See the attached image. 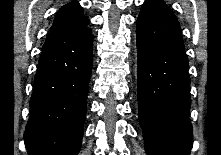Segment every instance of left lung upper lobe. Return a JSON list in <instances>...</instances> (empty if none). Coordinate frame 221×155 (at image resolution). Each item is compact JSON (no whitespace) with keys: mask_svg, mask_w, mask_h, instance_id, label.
Here are the masks:
<instances>
[{"mask_svg":"<svg viewBox=\"0 0 221 155\" xmlns=\"http://www.w3.org/2000/svg\"><path fill=\"white\" fill-rule=\"evenodd\" d=\"M144 3H147V4H153V5H157L159 7H162L170 12H172V10L165 4L164 1L162 0H146Z\"/></svg>","mask_w":221,"mask_h":155,"instance_id":"left-lung-upper-lobe-1","label":"left lung upper lobe"}]
</instances>
